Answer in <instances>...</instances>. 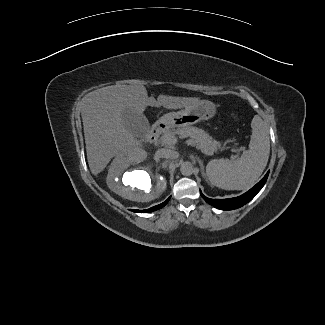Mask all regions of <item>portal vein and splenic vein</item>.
<instances>
[{
  "instance_id": "18ae733b",
  "label": "portal vein and splenic vein",
  "mask_w": 325,
  "mask_h": 325,
  "mask_svg": "<svg viewBox=\"0 0 325 325\" xmlns=\"http://www.w3.org/2000/svg\"><path fill=\"white\" fill-rule=\"evenodd\" d=\"M176 142H177V139H176V137H174V136H172V137H167V138L164 139V143H166V144L174 145V144H176ZM188 144L197 147V144H196L194 141H192V140H189V141H188ZM197 148H198V147H197ZM227 148H228V147H227ZM240 150H241V149H239V148H231V151H232V152H236V155L231 157L233 160L239 157V152H240ZM201 152L205 153L206 155H212V154H213V153H210V152H209L208 150H206V149H201Z\"/></svg>"
}]
</instances>
